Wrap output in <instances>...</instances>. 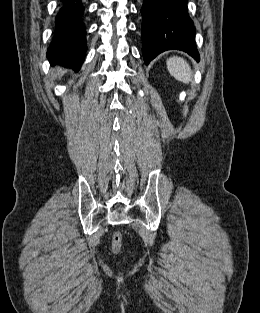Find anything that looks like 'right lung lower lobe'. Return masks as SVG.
Segmentation results:
<instances>
[{
	"mask_svg": "<svg viewBox=\"0 0 260 313\" xmlns=\"http://www.w3.org/2000/svg\"><path fill=\"white\" fill-rule=\"evenodd\" d=\"M56 16L55 35L47 52L52 64L78 70L86 52V31L82 0H61Z\"/></svg>",
	"mask_w": 260,
	"mask_h": 313,
	"instance_id": "obj_1",
	"label": "right lung lower lobe"
}]
</instances>
